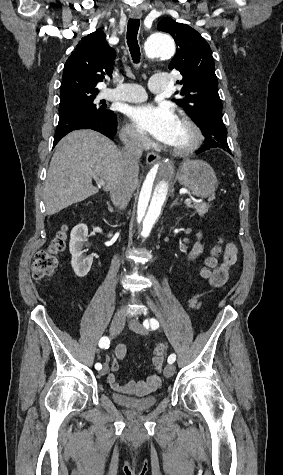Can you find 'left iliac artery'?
Here are the masks:
<instances>
[{
  "label": "left iliac artery",
  "instance_id": "left-iliac-artery-1",
  "mask_svg": "<svg viewBox=\"0 0 283 475\" xmlns=\"http://www.w3.org/2000/svg\"><path fill=\"white\" fill-rule=\"evenodd\" d=\"M143 325L146 327V328H149L151 327L152 329H157L159 327V323L156 319H150L149 321L146 319L144 322H143ZM176 360V355L175 354H171L169 357H168V363L169 364H172L173 362H175Z\"/></svg>",
  "mask_w": 283,
  "mask_h": 475
}]
</instances>
